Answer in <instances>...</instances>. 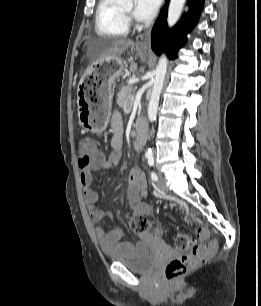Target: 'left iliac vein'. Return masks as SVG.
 I'll return each instance as SVG.
<instances>
[{
	"label": "left iliac vein",
	"instance_id": "obj_1",
	"mask_svg": "<svg viewBox=\"0 0 261 306\" xmlns=\"http://www.w3.org/2000/svg\"><path fill=\"white\" fill-rule=\"evenodd\" d=\"M157 187H158V189H159L161 192H167V191H168L167 186H166V183H165V178H164V176L159 175V179H158V181H157Z\"/></svg>",
	"mask_w": 261,
	"mask_h": 306
}]
</instances>
